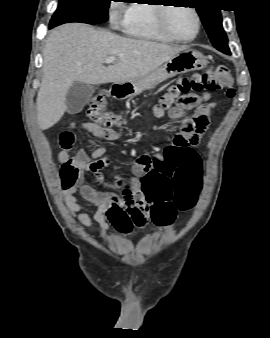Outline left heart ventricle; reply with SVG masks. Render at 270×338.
Returning a JSON list of instances; mask_svg holds the SVG:
<instances>
[{
	"label": "left heart ventricle",
	"instance_id": "obj_1",
	"mask_svg": "<svg viewBox=\"0 0 270 338\" xmlns=\"http://www.w3.org/2000/svg\"><path fill=\"white\" fill-rule=\"evenodd\" d=\"M168 25L178 38H189L196 30V18L191 10L185 7H173L168 12Z\"/></svg>",
	"mask_w": 270,
	"mask_h": 338
}]
</instances>
